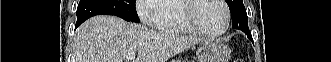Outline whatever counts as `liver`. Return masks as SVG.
Here are the masks:
<instances>
[{
	"label": "liver",
	"mask_w": 331,
	"mask_h": 62,
	"mask_svg": "<svg viewBox=\"0 0 331 62\" xmlns=\"http://www.w3.org/2000/svg\"><path fill=\"white\" fill-rule=\"evenodd\" d=\"M201 40L171 31H153L113 16H95L84 22L74 36L75 62H166Z\"/></svg>",
	"instance_id": "obj_1"
}]
</instances>
